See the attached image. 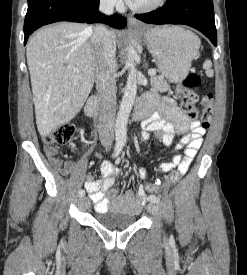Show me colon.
Wrapping results in <instances>:
<instances>
[{
    "mask_svg": "<svg viewBox=\"0 0 247 275\" xmlns=\"http://www.w3.org/2000/svg\"><path fill=\"white\" fill-rule=\"evenodd\" d=\"M201 82L200 76L195 72L188 73L184 80L179 84L177 93L181 101L183 110L188 114L190 118H196L198 112L196 110V103L198 102V95L195 92V88L199 86ZM202 114L201 121L202 126L209 128L214 112V99L212 94H207L202 98ZM75 126L71 124H65L54 128L49 134L45 135L44 142L48 145H64L70 142L75 135ZM179 178V172H171L165 182L162 183H147L143 185L146 193H157L165 187L174 185Z\"/></svg>",
    "mask_w": 247,
    "mask_h": 275,
    "instance_id": "5ec220e1",
    "label": "colon"
}]
</instances>
